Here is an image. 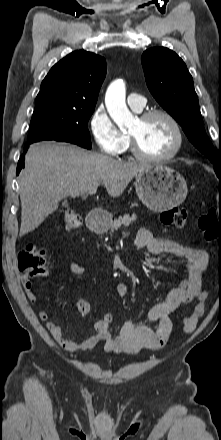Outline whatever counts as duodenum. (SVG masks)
Masks as SVG:
<instances>
[{
	"mask_svg": "<svg viewBox=\"0 0 221 440\" xmlns=\"http://www.w3.org/2000/svg\"><path fill=\"white\" fill-rule=\"evenodd\" d=\"M86 221L90 229L96 230L107 224L108 216L98 210H94L88 214Z\"/></svg>",
	"mask_w": 221,
	"mask_h": 440,
	"instance_id": "duodenum-1",
	"label": "duodenum"
}]
</instances>
